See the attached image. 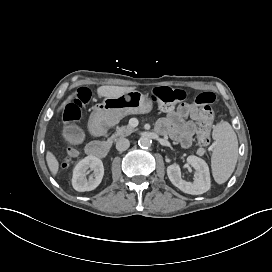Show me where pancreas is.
I'll list each match as a JSON object with an SVG mask.
<instances>
[{
	"mask_svg": "<svg viewBox=\"0 0 272 272\" xmlns=\"http://www.w3.org/2000/svg\"><path fill=\"white\" fill-rule=\"evenodd\" d=\"M120 118H111L108 119V124L114 125L119 122ZM136 131V129L130 125L116 127V132L108 139L109 143L117 141L119 138L126 137Z\"/></svg>",
	"mask_w": 272,
	"mask_h": 272,
	"instance_id": "pancreas-1",
	"label": "pancreas"
}]
</instances>
